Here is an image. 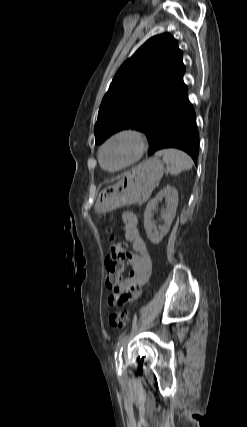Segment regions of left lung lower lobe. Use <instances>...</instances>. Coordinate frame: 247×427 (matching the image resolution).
Instances as JSON below:
<instances>
[{
  "label": "left lung lower lobe",
  "instance_id": "0a47b994",
  "mask_svg": "<svg viewBox=\"0 0 247 427\" xmlns=\"http://www.w3.org/2000/svg\"><path fill=\"white\" fill-rule=\"evenodd\" d=\"M145 133L150 142L149 155L164 148H177L185 151L197 163L199 133L187 89L152 119Z\"/></svg>",
  "mask_w": 247,
  "mask_h": 427
}]
</instances>
